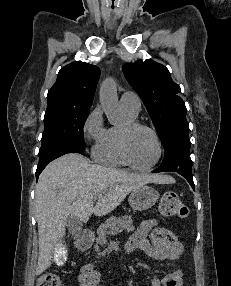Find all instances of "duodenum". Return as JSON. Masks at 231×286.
<instances>
[{"instance_id":"410a0bca","label":"duodenum","mask_w":231,"mask_h":286,"mask_svg":"<svg viewBox=\"0 0 231 286\" xmlns=\"http://www.w3.org/2000/svg\"><path fill=\"white\" fill-rule=\"evenodd\" d=\"M94 241V235L92 232H86L82 234L76 241V247L80 251L87 250L91 247Z\"/></svg>"}]
</instances>
